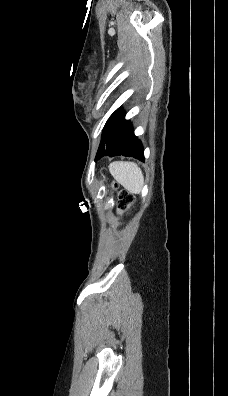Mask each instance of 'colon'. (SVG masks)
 Returning <instances> with one entry per match:
<instances>
[{"instance_id": "obj_1", "label": "colon", "mask_w": 228, "mask_h": 396, "mask_svg": "<svg viewBox=\"0 0 228 396\" xmlns=\"http://www.w3.org/2000/svg\"><path fill=\"white\" fill-rule=\"evenodd\" d=\"M118 196H119L120 206L122 208L128 207L134 201L133 197L125 191L119 192Z\"/></svg>"}]
</instances>
